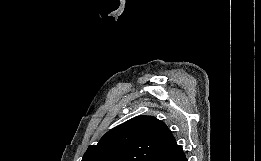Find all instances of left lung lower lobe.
Segmentation results:
<instances>
[{
	"label": "left lung lower lobe",
	"instance_id": "left-lung-lower-lobe-1",
	"mask_svg": "<svg viewBox=\"0 0 261 161\" xmlns=\"http://www.w3.org/2000/svg\"><path fill=\"white\" fill-rule=\"evenodd\" d=\"M151 161H187V158L182 147L174 141L157 152Z\"/></svg>",
	"mask_w": 261,
	"mask_h": 161
}]
</instances>
